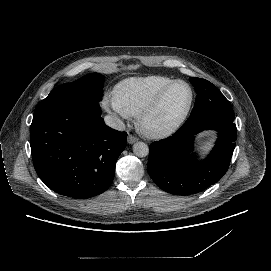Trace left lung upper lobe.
<instances>
[{
  "label": "left lung upper lobe",
  "mask_w": 271,
  "mask_h": 271,
  "mask_svg": "<svg viewBox=\"0 0 271 271\" xmlns=\"http://www.w3.org/2000/svg\"><path fill=\"white\" fill-rule=\"evenodd\" d=\"M189 79L197 93L190 117L202 113L234 114L230 102L215 85L201 78L190 77Z\"/></svg>",
  "instance_id": "obj_1"
}]
</instances>
